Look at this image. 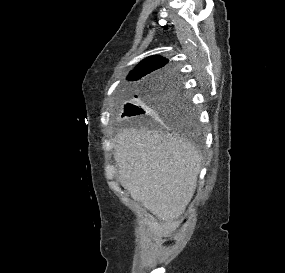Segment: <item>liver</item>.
<instances>
[{
  "label": "liver",
  "mask_w": 285,
  "mask_h": 273,
  "mask_svg": "<svg viewBox=\"0 0 285 273\" xmlns=\"http://www.w3.org/2000/svg\"><path fill=\"white\" fill-rule=\"evenodd\" d=\"M114 157L122 187L162 221L155 231L173 233L196 190L198 151L171 134L125 129L116 136Z\"/></svg>",
  "instance_id": "obj_1"
}]
</instances>
